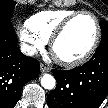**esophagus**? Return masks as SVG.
Listing matches in <instances>:
<instances>
[{
  "mask_svg": "<svg viewBox=\"0 0 108 108\" xmlns=\"http://www.w3.org/2000/svg\"><path fill=\"white\" fill-rule=\"evenodd\" d=\"M40 70H41V72H43V73H47V72H50L51 71V68H49V67H47L46 65H44V64H40Z\"/></svg>",
  "mask_w": 108,
  "mask_h": 108,
  "instance_id": "34e87169",
  "label": "esophagus"
}]
</instances>
